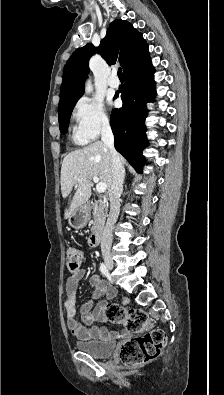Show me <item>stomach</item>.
I'll use <instances>...</instances> for the list:
<instances>
[{
	"mask_svg": "<svg viewBox=\"0 0 224 395\" xmlns=\"http://www.w3.org/2000/svg\"><path fill=\"white\" fill-rule=\"evenodd\" d=\"M90 219V208L88 205H82L76 208L68 217V223L75 229H81L86 226Z\"/></svg>",
	"mask_w": 224,
	"mask_h": 395,
	"instance_id": "obj_1",
	"label": "stomach"
}]
</instances>
